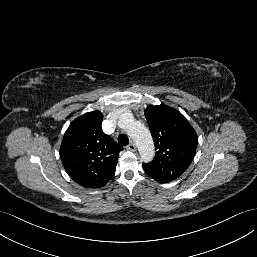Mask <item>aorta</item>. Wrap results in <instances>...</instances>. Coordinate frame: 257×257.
I'll return each instance as SVG.
<instances>
[{"label":"aorta","instance_id":"762f6f07","mask_svg":"<svg viewBox=\"0 0 257 257\" xmlns=\"http://www.w3.org/2000/svg\"><path fill=\"white\" fill-rule=\"evenodd\" d=\"M120 128L127 131L138 147L141 159L149 162L154 157V143L150 131L140 122L134 120L130 113H123L118 121Z\"/></svg>","mask_w":257,"mask_h":257}]
</instances>
